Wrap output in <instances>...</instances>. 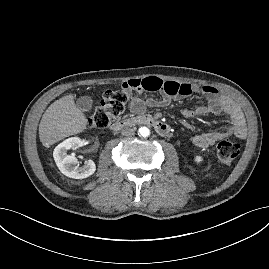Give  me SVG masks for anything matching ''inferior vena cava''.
Segmentation results:
<instances>
[{
	"instance_id": "inferior-vena-cava-1",
	"label": "inferior vena cava",
	"mask_w": 269,
	"mask_h": 269,
	"mask_svg": "<svg viewBox=\"0 0 269 269\" xmlns=\"http://www.w3.org/2000/svg\"><path fill=\"white\" fill-rule=\"evenodd\" d=\"M121 133L124 136H133L135 134V130L131 127H125L122 129Z\"/></svg>"
}]
</instances>
